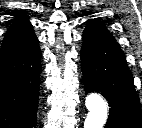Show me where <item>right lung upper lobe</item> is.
<instances>
[{
  "label": "right lung upper lobe",
  "instance_id": "1",
  "mask_svg": "<svg viewBox=\"0 0 142 128\" xmlns=\"http://www.w3.org/2000/svg\"><path fill=\"white\" fill-rule=\"evenodd\" d=\"M37 38L31 23L23 13H17L6 32L0 51V61L13 58L36 43Z\"/></svg>",
  "mask_w": 142,
  "mask_h": 128
}]
</instances>
